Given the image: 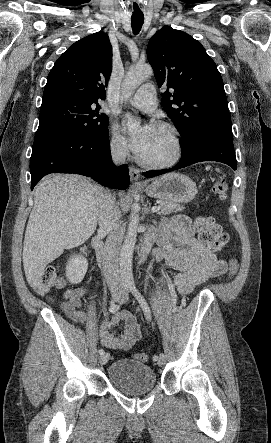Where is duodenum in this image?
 <instances>
[{"instance_id":"1","label":"duodenum","mask_w":271,"mask_h":443,"mask_svg":"<svg viewBox=\"0 0 271 443\" xmlns=\"http://www.w3.org/2000/svg\"><path fill=\"white\" fill-rule=\"evenodd\" d=\"M94 248L97 259L105 272H110L116 260V244L113 240L103 242L99 239L94 240Z\"/></svg>"}]
</instances>
